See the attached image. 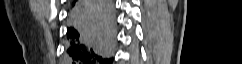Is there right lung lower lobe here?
I'll return each mask as SVG.
<instances>
[{"instance_id": "98d812e1", "label": "right lung lower lobe", "mask_w": 242, "mask_h": 64, "mask_svg": "<svg viewBox=\"0 0 242 64\" xmlns=\"http://www.w3.org/2000/svg\"><path fill=\"white\" fill-rule=\"evenodd\" d=\"M67 28L70 64H110L115 38L112 0H74Z\"/></svg>"}]
</instances>
